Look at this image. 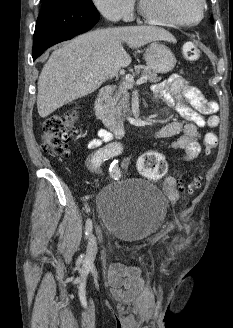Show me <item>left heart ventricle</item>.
Returning a JSON list of instances; mask_svg holds the SVG:
<instances>
[{
  "label": "left heart ventricle",
  "mask_w": 233,
  "mask_h": 328,
  "mask_svg": "<svg viewBox=\"0 0 233 328\" xmlns=\"http://www.w3.org/2000/svg\"><path fill=\"white\" fill-rule=\"evenodd\" d=\"M147 1L151 6H155L159 13L184 22L196 21L201 13L200 0Z\"/></svg>",
  "instance_id": "1"
}]
</instances>
